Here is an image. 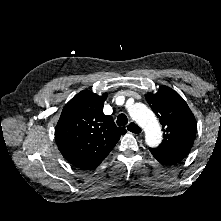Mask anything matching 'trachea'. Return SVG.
<instances>
[{
  "label": "trachea",
  "mask_w": 221,
  "mask_h": 221,
  "mask_svg": "<svg viewBox=\"0 0 221 221\" xmlns=\"http://www.w3.org/2000/svg\"><path fill=\"white\" fill-rule=\"evenodd\" d=\"M128 123V118L125 114H119L117 117V125L125 126Z\"/></svg>",
  "instance_id": "obj_1"
}]
</instances>
